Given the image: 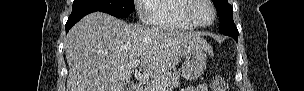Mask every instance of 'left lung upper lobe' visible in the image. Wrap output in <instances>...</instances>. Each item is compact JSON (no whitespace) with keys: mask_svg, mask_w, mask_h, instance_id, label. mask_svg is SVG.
<instances>
[{"mask_svg":"<svg viewBox=\"0 0 304 91\" xmlns=\"http://www.w3.org/2000/svg\"><path fill=\"white\" fill-rule=\"evenodd\" d=\"M220 18L219 31L224 35H238L233 21V8L227 0H212Z\"/></svg>","mask_w":304,"mask_h":91,"instance_id":"left-lung-upper-lobe-1","label":"left lung upper lobe"}]
</instances>
